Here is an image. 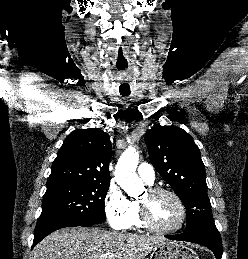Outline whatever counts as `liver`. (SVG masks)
Segmentation results:
<instances>
[{"instance_id": "1", "label": "liver", "mask_w": 248, "mask_h": 259, "mask_svg": "<svg viewBox=\"0 0 248 259\" xmlns=\"http://www.w3.org/2000/svg\"><path fill=\"white\" fill-rule=\"evenodd\" d=\"M167 242L157 236L120 234L81 227L53 232L33 250L32 259H145Z\"/></svg>"}]
</instances>
